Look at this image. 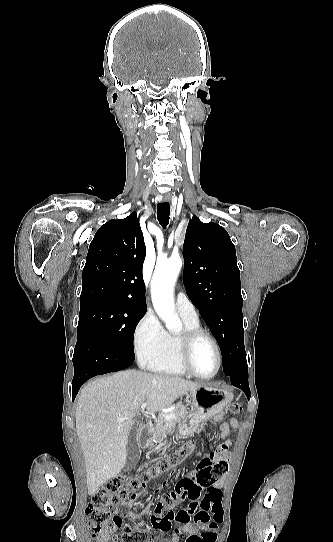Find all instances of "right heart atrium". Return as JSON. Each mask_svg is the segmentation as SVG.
Returning a JSON list of instances; mask_svg holds the SVG:
<instances>
[{
	"mask_svg": "<svg viewBox=\"0 0 333 542\" xmlns=\"http://www.w3.org/2000/svg\"><path fill=\"white\" fill-rule=\"evenodd\" d=\"M166 331L153 312H147L134 330L135 351L138 355L160 347L165 340Z\"/></svg>",
	"mask_w": 333,
	"mask_h": 542,
	"instance_id": "obj_1",
	"label": "right heart atrium"
}]
</instances>
